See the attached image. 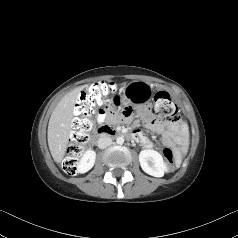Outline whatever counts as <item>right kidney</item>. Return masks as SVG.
Wrapping results in <instances>:
<instances>
[{
    "instance_id": "obj_1",
    "label": "right kidney",
    "mask_w": 238,
    "mask_h": 238,
    "mask_svg": "<svg viewBox=\"0 0 238 238\" xmlns=\"http://www.w3.org/2000/svg\"><path fill=\"white\" fill-rule=\"evenodd\" d=\"M96 153L94 150H87L81 157L77 170L79 173H86L95 164Z\"/></svg>"
}]
</instances>
